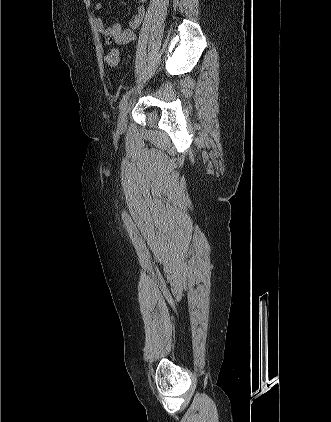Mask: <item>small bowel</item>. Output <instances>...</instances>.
I'll list each match as a JSON object with an SVG mask.
<instances>
[{"mask_svg": "<svg viewBox=\"0 0 331 422\" xmlns=\"http://www.w3.org/2000/svg\"><path fill=\"white\" fill-rule=\"evenodd\" d=\"M146 1L147 0H139L140 4L131 15L127 28H124L118 19L112 26L106 25L100 17L96 19V29L99 34L104 36L105 45L110 46L112 42H115L117 45L125 46L131 44L135 40V31L139 28L145 14L144 4ZM94 8L100 10L102 4L97 2L95 3Z\"/></svg>", "mask_w": 331, "mask_h": 422, "instance_id": "obj_1", "label": "small bowel"}]
</instances>
